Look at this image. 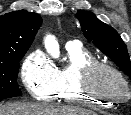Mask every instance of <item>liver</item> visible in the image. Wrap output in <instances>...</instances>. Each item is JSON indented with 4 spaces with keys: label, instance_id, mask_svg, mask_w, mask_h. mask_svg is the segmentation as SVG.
<instances>
[{
    "label": "liver",
    "instance_id": "liver-1",
    "mask_svg": "<svg viewBox=\"0 0 131 115\" xmlns=\"http://www.w3.org/2000/svg\"><path fill=\"white\" fill-rule=\"evenodd\" d=\"M0 115H96V113L79 107L18 102L0 106Z\"/></svg>",
    "mask_w": 131,
    "mask_h": 115
}]
</instances>
